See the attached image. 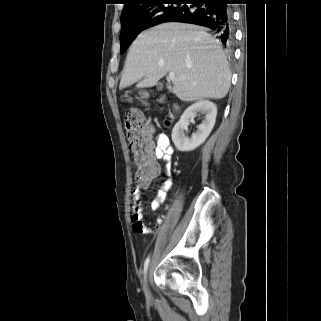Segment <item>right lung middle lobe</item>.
Instances as JSON below:
<instances>
[{"label":"right lung middle lobe","instance_id":"dd1d6c3e","mask_svg":"<svg viewBox=\"0 0 321 321\" xmlns=\"http://www.w3.org/2000/svg\"><path fill=\"white\" fill-rule=\"evenodd\" d=\"M184 0H156L137 12L121 18L120 53L123 54L142 31L163 23L164 19L178 10Z\"/></svg>","mask_w":321,"mask_h":321}]
</instances>
